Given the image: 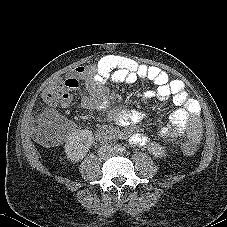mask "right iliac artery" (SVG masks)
Masks as SVG:
<instances>
[{
  "label": "right iliac artery",
  "instance_id": "82829eb1",
  "mask_svg": "<svg viewBox=\"0 0 227 227\" xmlns=\"http://www.w3.org/2000/svg\"><path fill=\"white\" fill-rule=\"evenodd\" d=\"M113 150H114V151H118V150H119V146H118V145H115V146L113 147Z\"/></svg>",
  "mask_w": 227,
  "mask_h": 227
}]
</instances>
